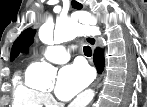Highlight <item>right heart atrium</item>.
I'll use <instances>...</instances> for the list:
<instances>
[{
  "mask_svg": "<svg viewBox=\"0 0 147 107\" xmlns=\"http://www.w3.org/2000/svg\"><path fill=\"white\" fill-rule=\"evenodd\" d=\"M44 97H45V100L46 101H49L50 100V97L48 95H45Z\"/></svg>",
  "mask_w": 147,
  "mask_h": 107,
  "instance_id": "right-heart-atrium-1",
  "label": "right heart atrium"
}]
</instances>
